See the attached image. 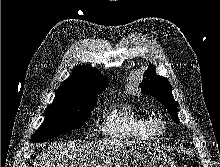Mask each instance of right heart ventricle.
Segmentation results:
<instances>
[{"instance_id": "obj_1", "label": "right heart ventricle", "mask_w": 220, "mask_h": 167, "mask_svg": "<svg viewBox=\"0 0 220 167\" xmlns=\"http://www.w3.org/2000/svg\"><path fill=\"white\" fill-rule=\"evenodd\" d=\"M152 116L128 101H119L103 115L102 133L105 137L137 142L155 138L150 129Z\"/></svg>"}]
</instances>
